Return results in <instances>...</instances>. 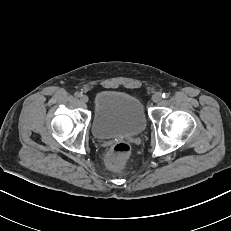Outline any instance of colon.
Instances as JSON below:
<instances>
[{
  "instance_id": "obj_1",
  "label": "colon",
  "mask_w": 231,
  "mask_h": 231,
  "mask_svg": "<svg viewBox=\"0 0 231 231\" xmlns=\"http://www.w3.org/2000/svg\"><path fill=\"white\" fill-rule=\"evenodd\" d=\"M131 152V144L127 141L116 142L107 155V164L112 169H120L124 166Z\"/></svg>"
}]
</instances>
